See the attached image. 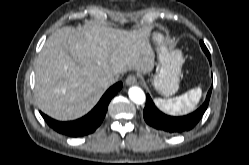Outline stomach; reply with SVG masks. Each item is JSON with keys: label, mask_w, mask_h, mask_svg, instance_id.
<instances>
[{"label": "stomach", "mask_w": 249, "mask_h": 165, "mask_svg": "<svg viewBox=\"0 0 249 165\" xmlns=\"http://www.w3.org/2000/svg\"><path fill=\"white\" fill-rule=\"evenodd\" d=\"M152 40L158 54L157 73L152 79V85L160 94L168 97L179 89L183 55L180 50L170 48L161 33L154 32Z\"/></svg>", "instance_id": "stomach-1"}]
</instances>
